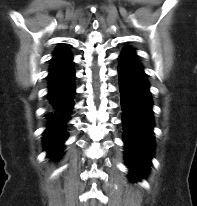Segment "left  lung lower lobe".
Segmentation results:
<instances>
[{
    "instance_id": "left-lung-lower-lobe-1",
    "label": "left lung lower lobe",
    "mask_w": 197,
    "mask_h": 206,
    "mask_svg": "<svg viewBox=\"0 0 197 206\" xmlns=\"http://www.w3.org/2000/svg\"><path fill=\"white\" fill-rule=\"evenodd\" d=\"M118 76L125 160L131 175L138 180L149 170L153 156V103L144 68L129 47L119 56Z\"/></svg>"
}]
</instances>
